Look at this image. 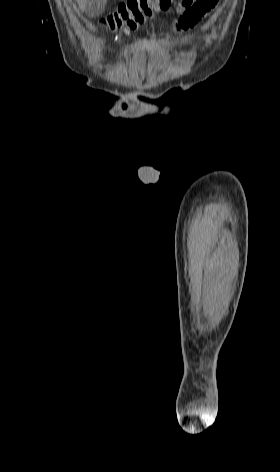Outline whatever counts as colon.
I'll list each match as a JSON object with an SVG mask.
<instances>
[{"instance_id":"1","label":"colon","mask_w":280,"mask_h":472,"mask_svg":"<svg viewBox=\"0 0 280 472\" xmlns=\"http://www.w3.org/2000/svg\"><path fill=\"white\" fill-rule=\"evenodd\" d=\"M182 0H126L120 3L116 9L101 20V24L112 31H118L121 39L122 34L142 25L145 21L153 18L159 12H165L176 7ZM209 5L214 0L207 1Z\"/></svg>"}]
</instances>
